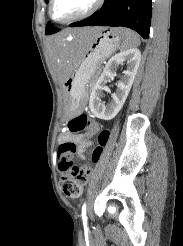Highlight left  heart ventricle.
I'll return each instance as SVG.
<instances>
[{"instance_id": "left-heart-ventricle-1", "label": "left heart ventricle", "mask_w": 183, "mask_h": 246, "mask_svg": "<svg viewBox=\"0 0 183 246\" xmlns=\"http://www.w3.org/2000/svg\"><path fill=\"white\" fill-rule=\"evenodd\" d=\"M94 0H55L53 15L58 20H65L85 12Z\"/></svg>"}]
</instances>
